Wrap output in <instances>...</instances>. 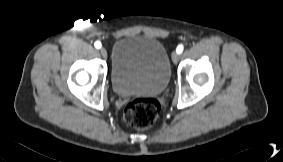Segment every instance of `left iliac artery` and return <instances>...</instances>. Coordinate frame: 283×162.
Segmentation results:
<instances>
[{
    "label": "left iliac artery",
    "instance_id": "left-iliac-artery-1",
    "mask_svg": "<svg viewBox=\"0 0 283 162\" xmlns=\"http://www.w3.org/2000/svg\"><path fill=\"white\" fill-rule=\"evenodd\" d=\"M183 49H184L183 45H178V47H177V49H176V52H177L178 54H180V53H182Z\"/></svg>",
    "mask_w": 283,
    "mask_h": 162
}]
</instances>
